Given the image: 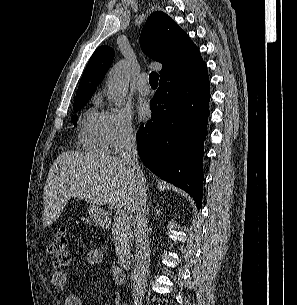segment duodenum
Returning <instances> with one entry per match:
<instances>
[{
	"instance_id": "410a0bca",
	"label": "duodenum",
	"mask_w": 297,
	"mask_h": 305,
	"mask_svg": "<svg viewBox=\"0 0 297 305\" xmlns=\"http://www.w3.org/2000/svg\"><path fill=\"white\" fill-rule=\"evenodd\" d=\"M101 223L103 226H107L109 224L106 219H101ZM118 260H119V264L123 268L128 269L131 267V265L133 263L134 256H133L132 252H130L127 249H124L120 252Z\"/></svg>"
}]
</instances>
